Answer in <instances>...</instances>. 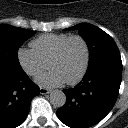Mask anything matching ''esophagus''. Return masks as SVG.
<instances>
[{"mask_svg":"<svg viewBox=\"0 0 128 128\" xmlns=\"http://www.w3.org/2000/svg\"><path fill=\"white\" fill-rule=\"evenodd\" d=\"M49 93H50V90L40 87V94L45 95V94H49Z\"/></svg>","mask_w":128,"mask_h":128,"instance_id":"34e87169","label":"esophagus"}]
</instances>
